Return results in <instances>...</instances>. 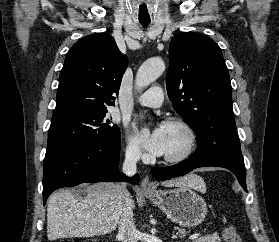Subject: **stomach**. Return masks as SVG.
<instances>
[{
    "label": "stomach",
    "mask_w": 279,
    "mask_h": 242,
    "mask_svg": "<svg viewBox=\"0 0 279 242\" xmlns=\"http://www.w3.org/2000/svg\"><path fill=\"white\" fill-rule=\"evenodd\" d=\"M146 196L157 205L169 219L183 227H196L207 215L205 200L190 187L159 190Z\"/></svg>",
    "instance_id": "stomach-1"
}]
</instances>
